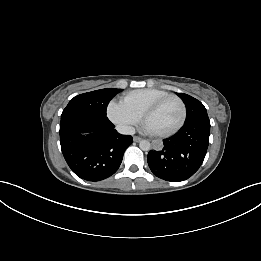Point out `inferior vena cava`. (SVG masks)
I'll return each instance as SVG.
<instances>
[{"label":"inferior vena cava","instance_id":"1","mask_svg":"<svg viewBox=\"0 0 261 261\" xmlns=\"http://www.w3.org/2000/svg\"><path fill=\"white\" fill-rule=\"evenodd\" d=\"M116 130L120 134H125V135H133V134H135V128L132 127V126H128V125H117L116 126Z\"/></svg>","mask_w":261,"mask_h":261}]
</instances>
